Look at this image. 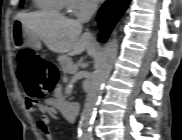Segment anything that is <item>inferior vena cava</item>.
<instances>
[{"instance_id":"inferior-vena-cava-1","label":"inferior vena cava","mask_w":182,"mask_h":140,"mask_svg":"<svg viewBox=\"0 0 182 140\" xmlns=\"http://www.w3.org/2000/svg\"><path fill=\"white\" fill-rule=\"evenodd\" d=\"M97 10V3L94 1H83L81 4V10L78 15V22L80 23H85L88 22L92 15L95 13Z\"/></svg>"}]
</instances>
